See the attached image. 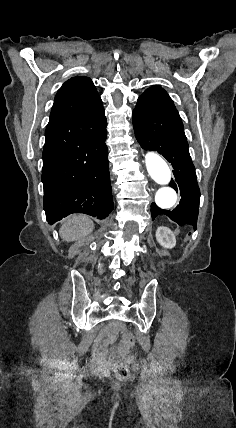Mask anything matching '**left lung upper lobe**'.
Instances as JSON below:
<instances>
[{
	"instance_id": "1",
	"label": "left lung upper lobe",
	"mask_w": 236,
	"mask_h": 428,
	"mask_svg": "<svg viewBox=\"0 0 236 428\" xmlns=\"http://www.w3.org/2000/svg\"><path fill=\"white\" fill-rule=\"evenodd\" d=\"M137 104L151 105L159 108H175L172 99L164 89L152 86L139 97Z\"/></svg>"
}]
</instances>
